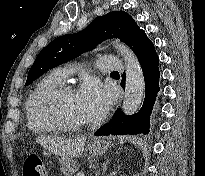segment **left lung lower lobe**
<instances>
[{
    "mask_svg": "<svg viewBox=\"0 0 205 176\" xmlns=\"http://www.w3.org/2000/svg\"><path fill=\"white\" fill-rule=\"evenodd\" d=\"M128 46L136 54L143 71L145 81L143 106L137 114L131 116L123 114L121 109L118 108L111 121L95 133L96 136L149 133L150 114L159 91V57L153 43L140 28L133 32ZM121 84L123 87L125 86L124 78Z\"/></svg>",
    "mask_w": 205,
    "mask_h": 176,
    "instance_id": "left-lung-lower-lobe-1",
    "label": "left lung lower lobe"
}]
</instances>
